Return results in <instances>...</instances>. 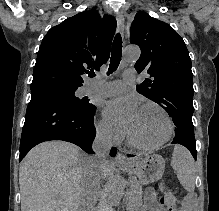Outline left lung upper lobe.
<instances>
[{
  "instance_id": "5c2ea615",
  "label": "left lung upper lobe",
  "mask_w": 219,
  "mask_h": 211,
  "mask_svg": "<svg viewBox=\"0 0 219 211\" xmlns=\"http://www.w3.org/2000/svg\"><path fill=\"white\" fill-rule=\"evenodd\" d=\"M130 33L131 43L141 49L135 69L150 75L137 91L170 114L175 132L194 131L193 74L183 39L170 25L142 11L135 15Z\"/></svg>"
}]
</instances>
